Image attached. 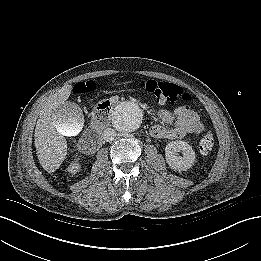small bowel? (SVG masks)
<instances>
[{
    "mask_svg": "<svg viewBox=\"0 0 261 261\" xmlns=\"http://www.w3.org/2000/svg\"><path fill=\"white\" fill-rule=\"evenodd\" d=\"M159 119L171 127L154 125L150 134L156 138L179 139L191 134H199L204 125L199 114L188 106H180L174 111L161 109L158 111Z\"/></svg>",
    "mask_w": 261,
    "mask_h": 261,
    "instance_id": "small-bowel-1",
    "label": "small bowel"
}]
</instances>
